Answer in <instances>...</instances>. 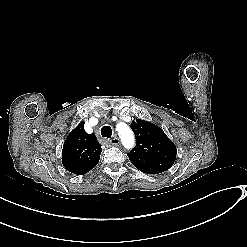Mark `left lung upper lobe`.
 I'll use <instances>...</instances> for the list:
<instances>
[{"label": "left lung upper lobe", "instance_id": "left-lung-upper-lobe-1", "mask_svg": "<svg viewBox=\"0 0 247 247\" xmlns=\"http://www.w3.org/2000/svg\"><path fill=\"white\" fill-rule=\"evenodd\" d=\"M136 136V146L128 153L131 163L146 174L168 170L176 158V147L157 125L144 120L131 123Z\"/></svg>", "mask_w": 247, "mask_h": 247}]
</instances>
